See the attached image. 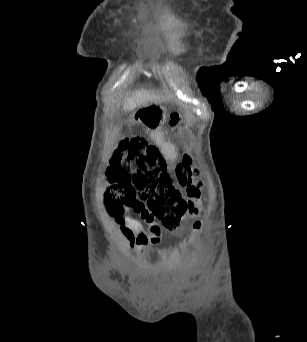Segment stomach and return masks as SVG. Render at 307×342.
I'll return each instance as SVG.
<instances>
[{"label":"stomach","instance_id":"1","mask_svg":"<svg viewBox=\"0 0 307 342\" xmlns=\"http://www.w3.org/2000/svg\"><path fill=\"white\" fill-rule=\"evenodd\" d=\"M132 121L157 127L165 123L166 111L162 107L142 108L133 113Z\"/></svg>","mask_w":307,"mask_h":342}]
</instances>
